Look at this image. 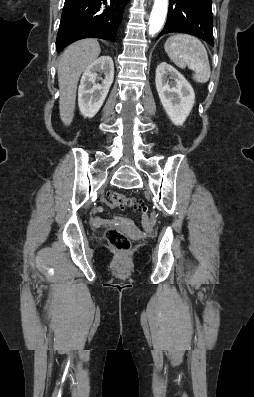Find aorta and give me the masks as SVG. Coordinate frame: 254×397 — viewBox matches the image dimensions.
Returning a JSON list of instances; mask_svg holds the SVG:
<instances>
[{
	"label": "aorta",
	"instance_id": "obj_1",
	"mask_svg": "<svg viewBox=\"0 0 254 397\" xmlns=\"http://www.w3.org/2000/svg\"><path fill=\"white\" fill-rule=\"evenodd\" d=\"M168 9V0H155L149 18V34L154 35L162 28Z\"/></svg>",
	"mask_w": 254,
	"mask_h": 397
}]
</instances>
